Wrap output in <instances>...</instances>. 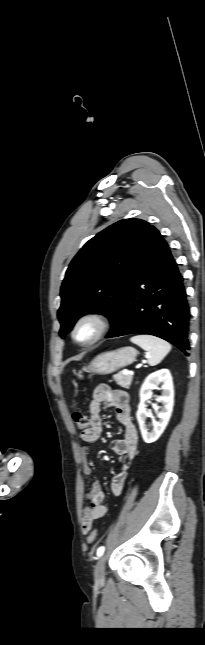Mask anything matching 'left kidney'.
<instances>
[{
	"label": "left kidney",
	"instance_id": "left-kidney-1",
	"mask_svg": "<svg viewBox=\"0 0 205 645\" xmlns=\"http://www.w3.org/2000/svg\"><path fill=\"white\" fill-rule=\"evenodd\" d=\"M159 384H162V395L158 396L156 401L161 402L163 407L158 413L159 421L153 424L152 431H148L146 419L149 417V412L147 411L145 402L151 398L152 390L156 389ZM139 396L140 403L138 405L136 418L139 423L143 440L146 443H152L155 442L164 432L173 411L174 389L172 376L169 370L162 369L147 376L142 384Z\"/></svg>",
	"mask_w": 205,
	"mask_h": 645
}]
</instances>
